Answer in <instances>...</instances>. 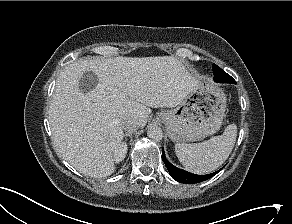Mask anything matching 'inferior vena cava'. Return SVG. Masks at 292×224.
I'll list each match as a JSON object with an SVG mask.
<instances>
[{
	"mask_svg": "<svg viewBox=\"0 0 292 224\" xmlns=\"http://www.w3.org/2000/svg\"><path fill=\"white\" fill-rule=\"evenodd\" d=\"M120 125L122 129L128 131V132H134L138 129L139 123L133 119V118H124L121 120Z\"/></svg>",
	"mask_w": 292,
	"mask_h": 224,
	"instance_id": "obj_1",
	"label": "inferior vena cava"
}]
</instances>
